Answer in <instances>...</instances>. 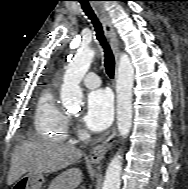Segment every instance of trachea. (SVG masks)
I'll return each mask as SVG.
<instances>
[{"mask_svg": "<svg viewBox=\"0 0 188 189\" xmlns=\"http://www.w3.org/2000/svg\"><path fill=\"white\" fill-rule=\"evenodd\" d=\"M79 2L82 6V9L88 16V18L92 21L95 31H96V37L104 50V65H105L106 73L108 74V76L110 78H113L114 71H115V60H114L112 51L110 49V46L107 43L106 38L104 36V32H103L101 23L99 22L94 11L92 10V8L89 4V0H79Z\"/></svg>", "mask_w": 188, "mask_h": 189, "instance_id": "trachea-1", "label": "trachea"}]
</instances>
